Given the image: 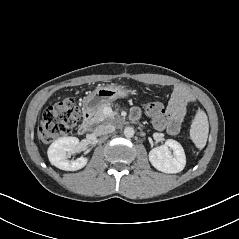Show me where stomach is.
<instances>
[{
	"label": "stomach",
	"mask_w": 239,
	"mask_h": 239,
	"mask_svg": "<svg viewBox=\"0 0 239 239\" xmlns=\"http://www.w3.org/2000/svg\"><path fill=\"white\" fill-rule=\"evenodd\" d=\"M129 93V90L116 85L98 87L85 98L83 111L88 114H94L102 105L118 98H125Z\"/></svg>",
	"instance_id": "stomach-1"
}]
</instances>
